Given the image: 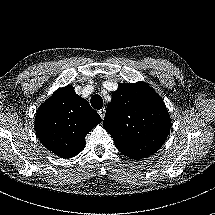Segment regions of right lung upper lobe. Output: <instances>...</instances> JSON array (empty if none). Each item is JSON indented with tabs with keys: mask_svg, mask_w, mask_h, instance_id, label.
Segmentation results:
<instances>
[{
	"mask_svg": "<svg viewBox=\"0 0 215 215\" xmlns=\"http://www.w3.org/2000/svg\"><path fill=\"white\" fill-rule=\"evenodd\" d=\"M101 122L99 114L71 85L59 88L38 109L35 131L40 142L62 158L78 155L85 136Z\"/></svg>",
	"mask_w": 215,
	"mask_h": 215,
	"instance_id": "obj_1",
	"label": "right lung upper lobe"
}]
</instances>
